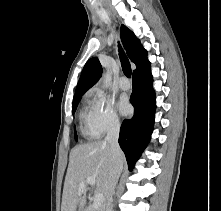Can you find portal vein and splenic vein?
<instances>
[{
	"mask_svg": "<svg viewBox=\"0 0 221 211\" xmlns=\"http://www.w3.org/2000/svg\"><path fill=\"white\" fill-rule=\"evenodd\" d=\"M87 184L95 185L94 177H87L86 180L80 183L79 189L83 190ZM104 202V195L102 193L95 194L92 206L94 208L100 207Z\"/></svg>",
	"mask_w": 221,
	"mask_h": 211,
	"instance_id": "portal-vein-and-splenic-vein-1",
	"label": "portal vein and splenic vein"
}]
</instances>
